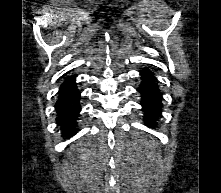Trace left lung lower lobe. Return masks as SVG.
Here are the masks:
<instances>
[{"label":"left lung lower lobe","instance_id":"obj_1","mask_svg":"<svg viewBox=\"0 0 221 193\" xmlns=\"http://www.w3.org/2000/svg\"><path fill=\"white\" fill-rule=\"evenodd\" d=\"M141 83L137 88L141 95V105L144 111L145 124L151 128L155 127L160 117L162 107V92L155 74L145 68L140 72Z\"/></svg>","mask_w":221,"mask_h":193}]
</instances>
